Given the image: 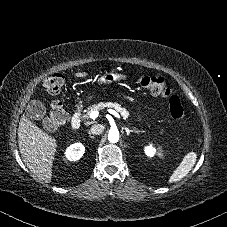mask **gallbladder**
Returning a JSON list of instances; mask_svg holds the SVG:
<instances>
[{"label":"gallbladder","instance_id":"gallbladder-1","mask_svg":"<svg viewBox=\"0 0 227 227\" xmlns=\"http://www.w3.org/2000/svg\"><path fill=\"white\" fill-rule=\"evenodd\" d=\"M26 114L33 119H41L45 114V106L38 100L31 101L27 108Z\"/></svg>","mask_w":227,"mask_h":227}]
</instances>
